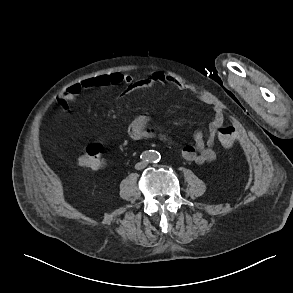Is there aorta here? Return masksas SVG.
<instances>
[{
  "label": "aorta",
  "instance_id": "762f6f07",
  "mask_svg": "<svg viewBox=\"0 0 293 293\" xmlns=\"http://www.w3.org/2000/svg\"><path fill=\"white\" fill-rule=\"evenodd\" d=\"M159 158H160V154L157 151H151L148 154L149 161L155 162V161H158Z\"/></svg>",
  "mask_w": 293,
  "mask_h": 293
}]
</instances>
